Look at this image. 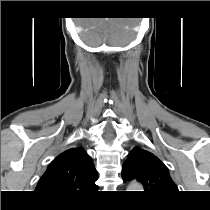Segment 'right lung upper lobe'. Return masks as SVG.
Segmentation results:
<instances>
[{
	"mask_svg": "<svg viewBox=\"0 0 210 210\" xmlns=\"http://www.w3.org/2000/svg\"><path fill=\"white\" fill-rule=\"evenodd\" d=\"M98 174L82 147L58 155L40 178L35 191L54 202H70L97 189Z\"/></svg>",
	"mask_w": 210,
	"mask_h": 210,
	"instance_id": "1",
	"label": "right lung upper lobe"
}]
</instances>
